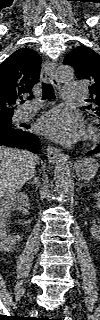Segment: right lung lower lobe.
Wrapping results in <instances>:
<instances>
[{
	"instance_id": "1",
	"label": "right lung lower lobe",
	"mask_w": 100,
	"mask_h": 320,
	"mask_svg": "<svg viewBox=\"0 0 100 320\" xmlns=\"http://www.w3.org/2000/svg\"><path fill=\"white\" fill-rule=\"evenodd\" d=\"M0 145L24 148L32 152H37L41 146L39 138L29 131V126L26 130L19 133L1 132Z\"/></svg>"
}]
</instances>
